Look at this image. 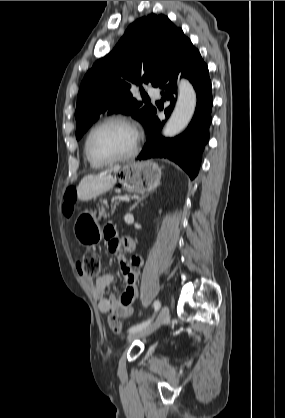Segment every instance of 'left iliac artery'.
<instances>
[{"label": "left iliac artery", "instance_id": "obj_1", "mask_svg": "<svg viewBox=\"0 0 285 418\" xmlns=\"http://www.w3.org/2000/svg\"><path fill=\"white\" fill-rule=\"evenodd\" d=\"M153 307H154V314H155V313H157L159 311V309L161 307L160 301L159 300H155L154 303H153ZM150 322H151V319H148V320H146V321H144L142 323H139V324H137L135 326H132L131 328L128 329V332L129 333H133L135 331L141 330V329L145 328L146 326H148L150 324Z\"/></svg>", "mask_w": 285, "mask_h": 418}]
</instances>
